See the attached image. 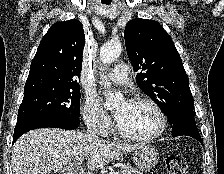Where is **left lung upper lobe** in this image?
Listing matches in <instances>:
<instances>
[{
	"instance_id": "5c2ea615",
	"label": "left lung upper lobe",
	"mask_w": 224,
	"mask_h": 174,
	"mask_svg": "<svg viewBox=\"0 0 224 174\" xmlns=\"http://www.w3.org/2000/svg\"><path fill=\"white\" fill-rule=\"evenodd\" d=\"M124 38L138 86L158 103L170 124L180 112L193 111L188 76L163 27L154 20L133 19Z\"/></svg>"
}]
</instances>
